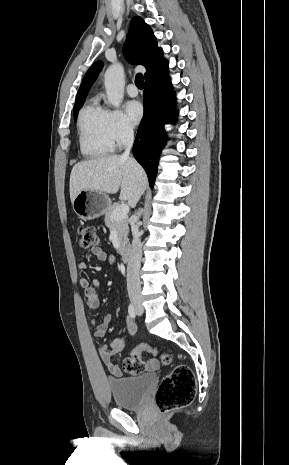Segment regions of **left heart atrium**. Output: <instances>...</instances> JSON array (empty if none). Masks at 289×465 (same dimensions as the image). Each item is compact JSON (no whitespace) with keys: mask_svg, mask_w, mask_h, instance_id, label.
I'll return each instance as SVG.
<instances>
[{"mask_svg":"<svg viewBox=\"0 0 289 465\" xmlns=\"http://www.w3.org/2000/svg\"><path fill=\"white\" fill-rule=\"evenodd\" d=\"M126 112L134 124H138L144 115L143 107L138 101H130L126 105Z\"/></svg>","mask_w":289,"mask_h":465,"instance_id":"1","label":"left heart atrium"}]
</instances>
